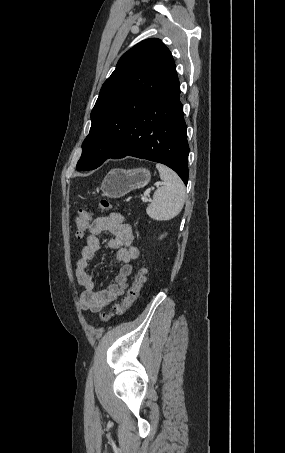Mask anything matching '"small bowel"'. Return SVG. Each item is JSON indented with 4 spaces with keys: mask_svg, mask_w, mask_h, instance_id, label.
I'll return each instance as SVG.
<instances>
[{
    "mask_svg": "<svg viewBox=\"0 0 285 453\" xmlns=\"http://www.w3.org/2000/svg\"><path fill=\"white\" fill-rule=\"evenodd\" d=\"M110 233L108 246L115 250L114 261L121 265L114 281L103 290H96L95 282L89 271L90 262L100 251L99 236ZM132 227L119 214L96 217L89 225V235L76 266V278L83 287L79 298L81 310L99 312L103 307L116 300L128 287V278L133 271L132 261L140 255L133 243Z\"/></svg>",
    "mask_w": 285,
    "mask_h": 453,
    "instance_id": "small-bowel-1",
    "label": "small bowel"
}]
</instances>
